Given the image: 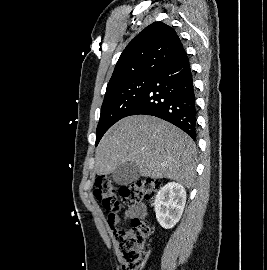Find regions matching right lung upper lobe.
<instances>
[{
    "instance_id": "right-lung-upper-lobe-1",
    "label": "right lung upper lobe",
    "mask_w": 267,
    "mask_h": 270,
    "mask_svg": "<svg viewBox=\"0 0 267 270\" xmlns=\"http://www.w3.org/2000/svg\"><path fill=\"white\" fill-rule=\"evenodd\" d=\"M181 48L182 43L172 27L162 22L150 24L120 55L107 89L140 76H154Z\"/></svg>"
}]
</instances>
